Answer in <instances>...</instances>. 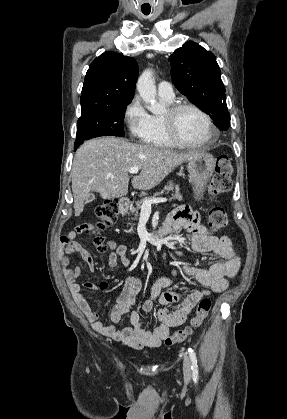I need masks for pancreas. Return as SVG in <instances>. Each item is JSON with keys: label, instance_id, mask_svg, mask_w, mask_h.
Instances as JSON below:
<instances>
[{"label": "pancreas", "instance_id": "obj_1", "mask_svg": "<svg viewBox=\"0 0 287 419\" xmlns=\"http://www.w3.org/2000/svg\"><path fill=\"white\" fill-rule=\"evenodd\" d=\"M165 190H166L167 192H169V191H174V194H172L171 199H173V200L177 199V200H179V201H181V200H182V194L180 193L179 186H178V185H175L173 182L169 181V182L167 183V185L165 186V189H164V190H162V192H161V193H163ZM158 195H159V193H155L153 196H150V197H148L147 199H154V198H155L156 196H158ZM143 201H144V200H142V201H137V202H136V206H135V207H131V208H130V212L128 213V215H130V214H131V215H134L135 217H138V216H139L138 211L141 209V206H142Z\"/></svg>", "mask_w": 287, "mask_h": 419}]
</instances>
